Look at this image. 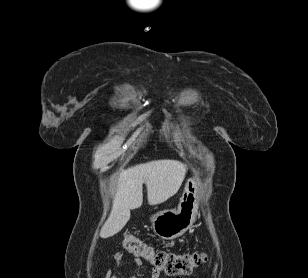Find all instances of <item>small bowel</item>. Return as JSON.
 Segmentation results:
<instances>
[{
    "mask_svg": "<svg viewBox=\"0 0 308 278\" xmlns=\"http://www.w3.org/2000/svg\"><path fill=\"white\" fill-rule=\"evenodd\" d=\"M114 260L119 269L121 270L125 269V265L123 262V253L121 251L117 252L114 255ZM140 265H141V260L138 257L134 258V266H140ZM105 278H122V277L114 274L110 269H108L106 271ZM129 278H136V276L130 275ZM151 278H158V272L154 270Z\"/></svg>",
    "mask_w": 308,
    "mask_h": 278,
    "instance_id": "obj_1",
    "label": "small bowel"
}]
</instances>
